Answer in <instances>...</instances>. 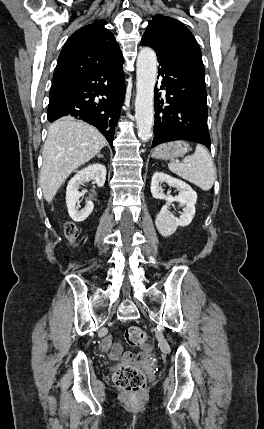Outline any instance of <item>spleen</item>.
I'll return each instance as SVG.
<instances>
[{
    "instance_id": "obj_1",
    "label": "spleen",
    "mask_w": 264,
    "mask_h": 429,
    "mask_svg": "<svg viewBox=\"0 0 264 429\" xmlns=\"http://www.w3.org/2000/svg\"><path fill=\"white\" fill-rule=\"evenodd\" d=\"M168 167L171 172L204 191L212 188L216 178L213 160L200 144L196 146L194 154L185 157L182 162L171 161Z\"/></svg>"
}]
</instances>
